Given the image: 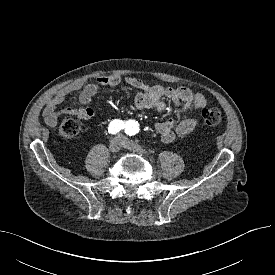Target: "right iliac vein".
Listing matches in <instances>:
<instances>
[{
    "mask_svg": "<svg viewBox=\"0 0 275 275\" xmlns=\"http://www.w3.org/2000/svg\"><path fill=\"white\" fill-rule=\"evenodd\" d=\"M122 147V141L121 138L116 137L114 138L109 145V149L113 153H117Z\"/></svg>",
    "mask_w": 275,
    "mask_h": 275,
    "instance_id": "1",
    "label": "right iliac vein"
}]
</instances>
